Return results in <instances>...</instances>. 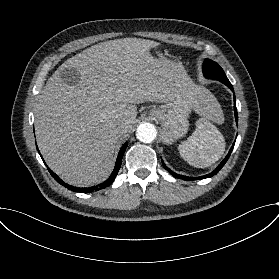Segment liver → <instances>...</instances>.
I'll return each instance as SVG.
<instances>
[{"label": "liver", "mask_w": 279, "mask_h": 279, "mask_svg": "<svg viewBox=\"0 0 279 279\" xmlns=\"http://www.w3.org/2000/svg\"><path fill=\"white\" fill-rule=\"evenodd\" d=\"M158 42L123 38L101 42L65 61L48 79L35 110L37 145L48 166L70 185L105 181L113 170L114 150L137 117V103H161L181 84L183 96L200 113L202 88L149 50ZM65 68L81 75L64 83ZM120 134L114 130L122 123Z\"/></svg>", "instance_id": "liver-1"}]
</instances>
